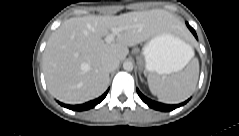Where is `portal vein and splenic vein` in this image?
Instances as JSON below:
<instances>
[{
	"label": "portal vein and splenic vein",
	"instance_id": "obj_1",
	"mask_svg": "<svg viewBox=\"0 0 239 136\" xmlns=\"http://www.w3.org/2000/svg\"><path fill=\"white\" fill-rule=\"evenodd\" d=\"M126 28L125 27H113L111 29V33L108 34L106 37H105V42L107 43H111L114 41V38L116 37V35H118L120 32H122L123 30H125Z\"/></svg>",
	"mask_w": 239,
	"mask_h": 136
}]
</instances>
